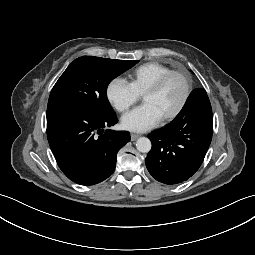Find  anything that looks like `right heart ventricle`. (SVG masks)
<instances>
[{"label": "right heart ventricle", "mask_w": 255, "mask_h": 255, "mask_svg": "<svg viewBox=\"0 0 255 255\" xmlns=\"http://www.w3.org/2000/svg\"><path fill=\"white\" fill-rule=\"evenodd\" d=\"M169 71L171 68L158 62L144 63L132 71L129 83L142 95L159 77Z\"/></svg>", "instance_id": "obj_1"}]
</instances>
